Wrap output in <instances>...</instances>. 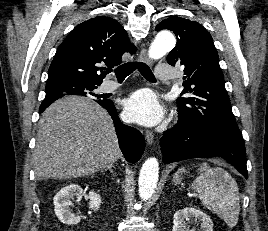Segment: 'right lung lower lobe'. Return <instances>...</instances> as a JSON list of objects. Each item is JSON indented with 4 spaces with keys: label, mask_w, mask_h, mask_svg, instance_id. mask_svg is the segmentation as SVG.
Segmentation results:
<instances>
[{
    "label": "right lung lower lobe",
    "mask_w": 268,
    "mask_h": 231,
    "mask_svg": "<svg viewBox=\"0 0 268 231\" xmlns=\"http://www.w3.org/2000/svg\"><path fill=\"white\" fill-rule=\"evenodd\" d=\"M96 102L105 108L111 115L115 124L119 146L125 159L131 163L138 161L145 149L144 137L137 129L124 125L120 121L115 107L110 100H102ZM43 111H39V113H42Z\"/></svg>",
    "instance_id": "98d812e1"
}]
</instances>
